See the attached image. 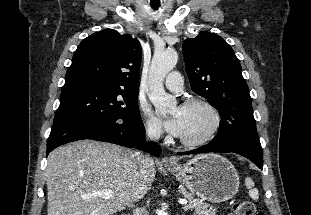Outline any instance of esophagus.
Masks as SVG:
<instances>
[{
	"mask_svg": "<svg viewBox=\"0 0 311 215\" xmlns=\"http://www.w3.org/2000/svg\"><path fill=\"white\" fill-rule=\"evenodd\" d=\"M162 163H163L164 165H174V164H175V161H174L172 158L168 157V156H164V157L162 158Z\"/></svg>",
	"mask_w": 311,
	"mask_h": 215,
	"instance_id": "obj_1",
	"label": "esophagus"
}]
</instances>
